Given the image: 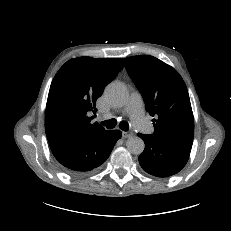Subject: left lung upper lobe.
<instances>
[{
  "label": "left lung upper lobe",
  "mask_w": 231,
  "mask_h": 231,
  "mask_svg": "<svg viewBox=\"0 0 231 231\" xmlns=\"http://www.w3.org/2000/svg\"><path fill=\"white\" fill-rule=\"evenodd\" d=\"M153 119L158 139L192 145L194 117L189 94L180 74L163 61L148 55L124 59Z\"/></svg>",
  "instance_id": "5c2ea615"
}]
</instances>
